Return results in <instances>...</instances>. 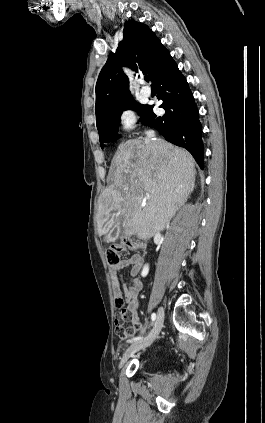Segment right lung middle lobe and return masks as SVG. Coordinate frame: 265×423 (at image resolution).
<instances>
[{"label": "right lung middle lobe", "mask_w": 265, "mask_h": 423, "mask_svg": "<svg viewBox=\"0 0 265 423\" xmlns=\"http://www.w3.org/2000/svg\"><path fill=\"white\" fill-rule=\"evenodd\" d=\"M133 109L141 115L140 121L148 109L147 105H141L131 97L118 105L110 114H108L100 123L97 124L100 144L113 142L119 138L117 131L120 123V116L123 110ZM104 148V145H101Z\"/></svg>", "instance_id": "1"}]
</instances>
